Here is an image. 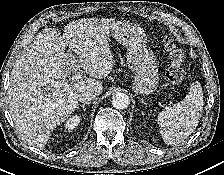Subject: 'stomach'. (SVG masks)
<instances>
[{"mask_svg": "<svg viewBox=\"0 0 224 175\" xmlns=\"http://www.w3.org/2000/svg\"><path fill=\"white\" fill-rule=\"evenodd\" d=\"M110 34L127 48V64L134 73L132 89L145 95L155 92L159 83L158 65L142 29L136 24L118 22Z\"/></svg>", "mask_w": 224, "mask_h": 175, "instance_id": "stomach-1", "label": "stomach"}]
</instances>
